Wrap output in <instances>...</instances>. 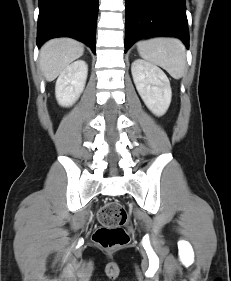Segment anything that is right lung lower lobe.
<instances>
[{
	"mask_svg": "<svg viewBox=\"0 0 231 281\" xmlns=\"http://www.w3.org/2000/svg\"><path fill=\"white\" fill-rule=\"evenodd\" d=\"M39 9V47L51 38L72 37L95 54L98 0H39Z\"/></svg>",
	"mask_w": 231,
	"mask_h": 281,
	"instance_id": "obj_1",
	"label": "right lung lower lobe"
}]
</instances>
